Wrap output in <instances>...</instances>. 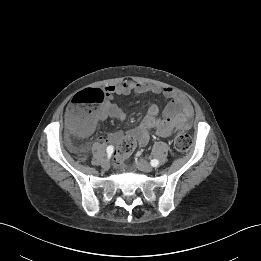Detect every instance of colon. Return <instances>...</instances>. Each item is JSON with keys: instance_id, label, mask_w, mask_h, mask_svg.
Here are the masks:
<instances>
[{"instance_id": "colon-1", "label": "colon", "mask_w": 261, "mask_h": 261, "mask_svg": "<svg viewBox=\"0 0 261 261\" xmlns=\"http://www.w3.org/2000/svg\"><path fill=\"white\" fill-rule=\"evenodd\" d=\"M106 94L101 89H91L78 94L68 106V121L73 130L78 133L88 131L93 124V114L97 105L103 102ZM192 144L191 137L178 127L174 137V147L178 151H186ZM135 141L126 137L122 140L117 153V159H124L135 149Z\"/></svg>"}]
</instances>
